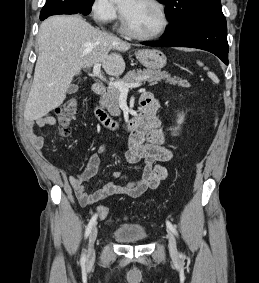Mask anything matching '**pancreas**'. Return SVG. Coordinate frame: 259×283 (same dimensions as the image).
Instances as JSON below:
<instances>
[{
    "label": "pancreas",
    "mask_w": 259,
    "mask_h": 283,
    "mask_svg": "<svg viewBox=\"0 0 259 283\" xmlns=\"http://www.w3.org/2000/svg\"><path fill=\"white\" fill-rule=\"evenodd\" d=\"M161 80H164L171 85H178L180 87H187L189 85L186 80L177 77H171L170 74L165 71L151 69H137L129 71L120 81L127 84L148 81L150 85H153ZM120 94L121 92L117 88L109 86L106 94L101 97V105L106 107L112 116H120L121 114L119 108Z\"/></svg>",
    "instance_id": "1"
}]
</instances>
